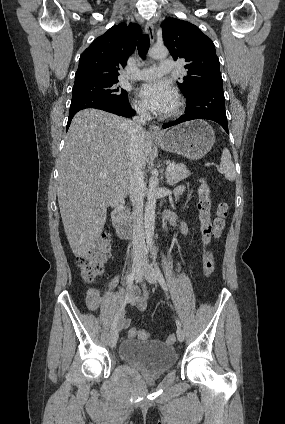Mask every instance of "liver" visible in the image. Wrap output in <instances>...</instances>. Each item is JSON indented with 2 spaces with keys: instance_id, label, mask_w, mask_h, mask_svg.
<instances>
[{
  "instance_id": "6515ba94",
  "label": "liver",
  "mask_w": 285,
  "mask_h": 424,
  "mask_svg": "<svg viewBox=\"0 0 285 424\" xmlns=\"http://www.w3.org/2000/svg\"><path fill=\"white\" fill-rule=\"evenodd\" d=\"M130 120L97 109L78 112L59 157L58 203L64 230L75 256L97 241L107 208L129 192ZM152 138L144 132L139 161L145 168ZM106 174L101 177L100 174Z\"/></svg>"
}]
</instances>
